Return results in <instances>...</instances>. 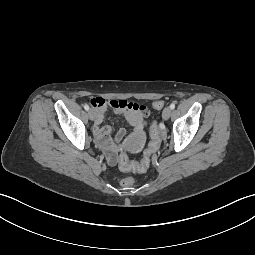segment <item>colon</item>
Returning <instances> with one entry per match:
<instances>
[{
    "label": "colon",
    "instance_id": "5ec220e1",
    "mask_svg": "<svg viewBox=\"0 0 255 255\" xmlns=\"http://www.w3.org/2000/svg\"><path fill=\"white\" fill-rule=\"evenodd\" d=\"M164 106V103L162 101H156L153 103V107L155 109H161ZM150 134H151V142L148 146V148L144 152V156L140 163L132 162L128 159V157L125 154H121L119 157V165L123 171L126 173H134V172H145L151 161V157L153 154L157 151L158 146L161 141V135L162 130L158 126V124L153 121L150 125ZM135 183V179L128 175L124 177L120 184L123 187L129 188L132 187Z\"/></svg>",
    "mask_w": 255,
    "mask_h": 255
}]
</instances>
